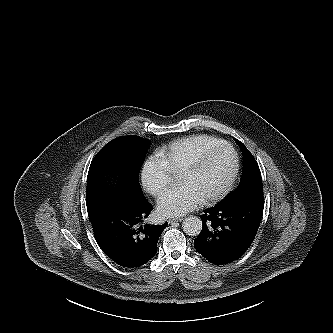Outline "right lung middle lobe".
Here are the masks:
<instances>
[{"label": "right lung middle lobe", "mask_w": 333, "mask_h": 333, "mask_svg": "<svg viewBox=\"0 0 333 333\" xmlns=\"http://www.w3.org/2000/svg\"><path fill=\"white\" fill-rule=\"evenodd\" d=\"M150 141L128 135L114 139L104 146L91 162L87 176V209L107 197L145 199L139 184V171ZM116 183L108 185V175Z\"/></svg>", "instance_id": "obj_1"}]
</instances>
